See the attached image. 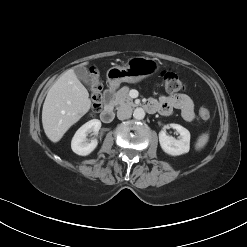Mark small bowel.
<instances>
[{
  "label": "small bowel",
  "mask_w": 247,
  "mask_h": 247,
  "mask_svg": "<svg viewBox=\"0 0 247 247\" xmlns=\"http://www.w3.org/2000/svg\"><path fill=\"white\" fill-rule=\"evenodd\" d=\"M147 104L151 106V111H158L163 116L171 114L174 109H179L184 120L190 122L195 117L194 103L187 94L160 96L150 99Z\"/></svg>",
  "instance_id": "small-bowel-1"
}]
</instances>
